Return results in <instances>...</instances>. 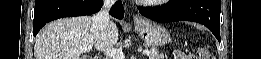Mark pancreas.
I'll return each mask as SVG.
<instances>
[{
	"instance_id": "obj_1",
	"label": "pancreas",
	"mask_w": 261,
	"mask_h": 59,
	"mask_svg": "<svg viewBox=\"0 0 261 59\" xmlns=\"http://www.w3.org/2000/svg\"><path fill=\"white\" fill-rule=\"evenodd\" d=\"M146 48L150 49L149 59H164V55L160 54L156 48H150L149 46H146Z\"/></svg>"
}]
</instances>
